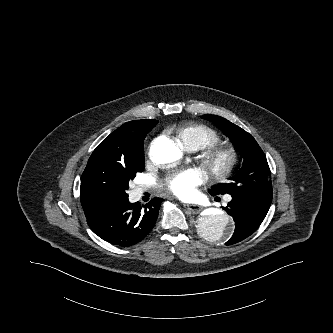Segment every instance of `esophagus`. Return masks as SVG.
<instances>
[{
  "instance_id": "34e87169",
  "label": "esophagus",
  "mask_w": 333,
  "mask_h": 333,
  "mask_svg": "<svg viewBox=\"0 0 333 333\" xmlns=\"http://www.w3.org/2000/svg\"><path fill=\"white\" fill-rule=\"evenodd\" d=\"M183 206L193 214H199L202 210V207L197 204H183Z\"/></svg>"
}]
</instances>
